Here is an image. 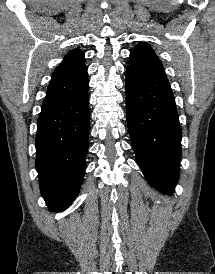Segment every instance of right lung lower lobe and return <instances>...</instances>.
<instances>
[{"instance_id":"obj_1","label":"right lung lower lobe","mask_w":215,"mask_h":274,"mask_svg":"<svg viewBox=\"0 0 215 274\" xmlns=\"http://www.w3.org/2000/svg\"><path fill=\"white\" fill-rule=\"evenodd\" d=\"M88 83L68 99L42 108L37 122L36 169L49 210L76 198L86 168L89 135Z\"/></svg>"}]
</instances>
